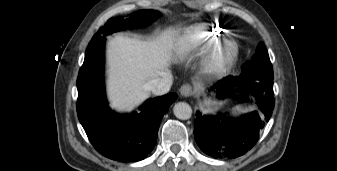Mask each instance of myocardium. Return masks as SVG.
<instances>
[{
	"mask_svg": "<svg viewBox=\"0 0 337 171\" xmlns=\"http://www.w3.org/2000/svg\"><path fill=\"white\" fill-rule=\"evenodd\" d=\"M239 55V45L233 39L221 40L210 47L202 65L205 73L214 76L225 74L234 65Z\"/></svg>",
	"mask_w": 337,
	"mask_h": 171,
	"instance_id": "1",
	"label": "myocardium"
}]
</instances>
